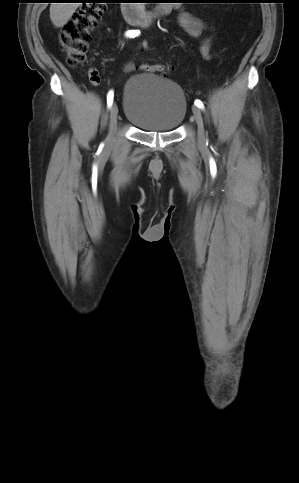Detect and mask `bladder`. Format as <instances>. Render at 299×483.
<instances>
[{
  "label": "bladder",
  "instance_id": "1",
  "mask_svg": "<svg viewBox=\"0 0 299 483\" xmlns=\"http://www.w3.org/2000/svg\"><path fill=\"white\" fill-rule=\"evenodd\" d=\"M125 119L146 132H171L183 122L187 101L181 87L155 73L131 76L122 92Z\"/></svg>",
  "mask_w": 299,
  "mask_h": 483
}]
</instances>
